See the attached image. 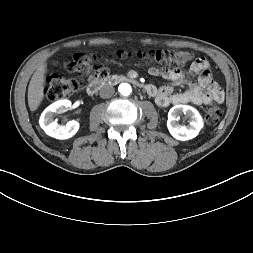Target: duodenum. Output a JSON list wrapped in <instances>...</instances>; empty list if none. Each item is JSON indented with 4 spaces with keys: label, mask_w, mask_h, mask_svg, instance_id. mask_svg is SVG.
Returning <instances> with one entry per match:
<instances>
[{
    "label": "duodenum",
    "mask_w": 253,
    "mask_h": 253,
    "mask_svg": "<svg viewBox=\"0 0 253 253\" xmlns=\"http://www.w3.org/2000/svg\"><path fill=\"white\" fill-rule=\"evenodd\" d=\"M119 82H133L138 87H141L145 90H148L150 88L149 85L139 84L136 80H134L130 77H127V76L110 75V76H107L105 78H100L94 83H90L87 87V93L89 95H95L103 87H105L107 85H111V84H116V83H119Z\"/></svg>",
    "instance_id": "410a0bca"
}]
</instances>
